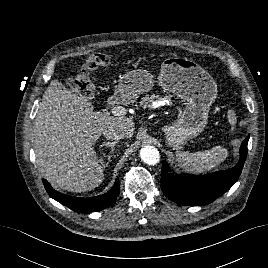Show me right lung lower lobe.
Returning a JSON list of instances; mask_svg holds the SVG:
<instances>
[{
  "label": "right lung lower lobe",
  "instance_id": "98d812e1",
  "mask_svg": "<svg viewBox=\"0 0 268 268\" xmlns=\"http://www.w3.org/2000/svg\"><path fill=\"white\" fill-rule=\"evenodd\" d=\"M43 184L51 198L55 199L59 203L65 205L75 212L84 213L103 210L111 206L116 201L120 192L118 180L115 181L114 186L109 192L90 198H79L59 193L55 191L45 179H43Z\"/></svg>",
  "mask_w": 268,
  "mask_h": 268
}]
</instances>
